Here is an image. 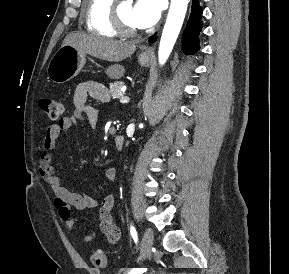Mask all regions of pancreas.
<instances>
[{
	"mask_svg": "<svg viewBox=\"0 0 289 274\" xmlns=\"http://www.w3.org/2000/svg\"><path fill=\"white\" fill-rule=\"evenodd\" d=\"M122 86H123V82H116L110 85L109 92L114 99L121 98L124 95V92H122L121 90Z\"/></svg>",
	"mask_w": 289,
	"mask_h": 274,
	"instance_id": "cf45deb5",
	"label": "pancreas"
}]
</instances>
